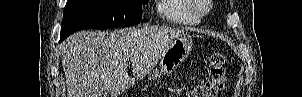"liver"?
Returning a JSON list of instances; mask_svg holds the SVG:
<instances>
[{
  "label": "liver",
  "mask_w": 302,
  "mask_h": 97,
  "mask_svg": "<svg viewBox=\"0 0 302 97\" xmlns=\"http://www.w3.org/2000/svg\"><path fill=\"white\" fill-rule=\"evenodd\" d=\"M182 30L170 27L130 28L113 32L79 31L62 44L67 97H118L135 79L151 71L170 42Z\"/></svg>",
  "instance_id": "liver-1"
}]
</instances>
